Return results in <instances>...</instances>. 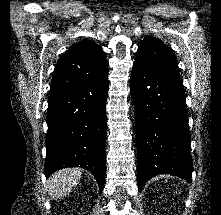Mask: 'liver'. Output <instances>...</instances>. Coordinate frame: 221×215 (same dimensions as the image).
Segmentation results:
<instances>
[{
    "instance_id": "obj_1",
    "label": "liver",
    "mask_w": 221,
    "mask_h": 215,
    "mask_svg": "<svg viewBox=\"0 0 221 215\" xmlns=\"http://www.w3.org/2000/svg\"><path fill=\"white\" fill-rule=\"evenodd\" d=\"M82 169L66 168L55 172L48 180V193L51 199H61L77 186Z\"/></svg>"
}]
</instances>
